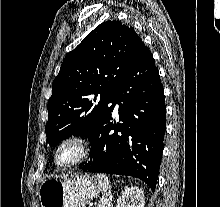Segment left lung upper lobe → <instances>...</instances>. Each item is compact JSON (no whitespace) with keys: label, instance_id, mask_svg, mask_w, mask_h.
<instances>
[{"label":"left lung upper lobe","instance_id":"left-lung-upper-lobe-1","mask_svg":"<svg viewBox=\"0 0 220 207\" xmlns=\"http://www.w3.org/2000/svg\"><path fill=\"white\" fill-rule=\"evenodd\" d=\"M141 43L134 28L107 21L66 55L48 100L47 144L72 135L91 139Z\"/></svg>","mask_w":220,"mask_h":207}]
</instances>
